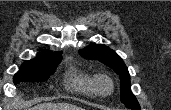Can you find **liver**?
<instances>
[{
  "mask_svg": "<svg viewBox=\"0 0 171 110\" xmlns=\"http://www.w3.org/2000/svg\"><path fill=\"white\" fill-rule=\"evenodd\" d=\"M31 110H83L81 107L68 103H43L36 105Z\"/></svg>",
  "mask_w": 171,
  "mask_h": 110,
  "instance_id": "6515ba94",
  "label": "liver"
}]
</instances>
